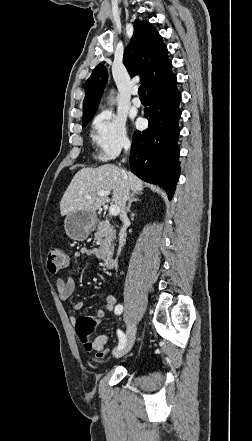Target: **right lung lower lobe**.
I'll use <instances>...</instances> for the list:
<instances>
[{
  "label": "right lung lower lobe",
  "instance_id": "obj_1",
  "mask_svg": "<svg viewBox=\"0 0 252 441\" xmlns=\"http://www.w3.org/2000/svg\"><path fill=\"white\" fill-rule=\"evenodd\" d=\"M176 84L170 62L161 78L147 90L149 107L144 109V115L149 121L148 129L134 133L130 155L132 172L146 182L160 184L169 199L180 175L177 137L181 94Z\"/></svg>",
  "mask_w": 252,
  "mask_h": 441
}]
</instances>
